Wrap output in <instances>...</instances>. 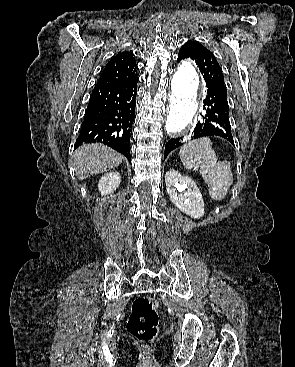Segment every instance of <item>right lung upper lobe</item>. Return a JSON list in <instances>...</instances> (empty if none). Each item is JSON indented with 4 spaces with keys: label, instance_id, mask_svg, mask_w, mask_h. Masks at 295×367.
Instances as JSON below:
<instances>
[{
    "label": "right lung upper lobe",
    "instance_id": "cb5924a9",
    "mask_svg": "<svg viewBox=\"0 0 295 367\" xmlns=\"http://www.w3.org/2000/svg\"><path fill=\"white\" fill-rule=\"evenodd\" d=\"M138 81L137 65L131 52L114 56L105 66L97 84L124 85Z\"/></svg>",
    "mask_w": 295,
    "mask_h": 367
}]
</instances>
